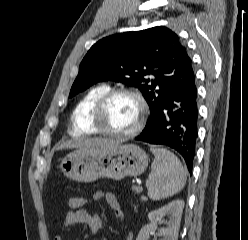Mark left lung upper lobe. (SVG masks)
Returning <instances> with one entry per match:
<instances>
[{"label":"left lung upper lobe","instance_id":"obj_1","mask_svg":"<svg viewBox=\"0 0 248 240\" xmlns=\"http://www.w3.org/2000/svg\"><path fill=\"white\" fill-rule=\"evenodd\" d=\"M150 74L155 78H146ZM193 76L192 61L178 35L157 26L111 35L94 44L79 66L69 97L99 81L134 86L149 105L148 123L169 94Z\"/></svg>","mask_w":248,"mask_h":240}]
</instances>
